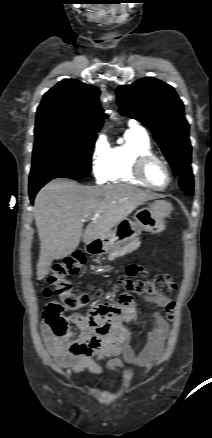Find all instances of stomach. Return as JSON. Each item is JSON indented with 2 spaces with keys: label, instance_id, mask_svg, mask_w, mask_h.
<instances>
[{
  "label": "stomach",
  "instance_id": "obj_1",
  "mask_svg": "<svg viewBox=\"0 0 212 438\" xmlns=\"http://www.w3.org/2000/svg\"><path fill=\"white\" fill-rule=\"evenodd\" d=\"M172 210V205L164 200H156L148 207L138 210L134 216L135 222L124 219L105 238H102L103 250L112 251L130 242L136 236L137 227L153 234L164 232L165 218L169 217Z\"/></svg>",
  "mask_w": 212,
  "mask_h": 438
}]
</instances>
